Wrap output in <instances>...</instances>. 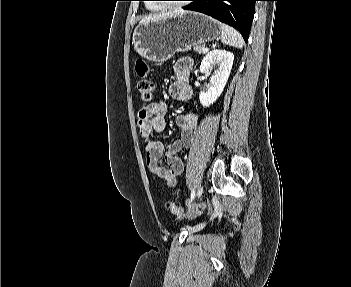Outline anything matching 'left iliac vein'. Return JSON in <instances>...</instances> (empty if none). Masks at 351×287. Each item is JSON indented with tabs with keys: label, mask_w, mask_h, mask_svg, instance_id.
I'll return each mask as SVG.
<instances>
[{
	"label": "left iliac vein",
	"mask_w": 351,
	"mask_h": 287,
	"mask_svg": "<svg viewBox=\"0 0 351 287\" xmlns=\"http://www.w3.org/2000/svg\"><path fill=\"white\" fill-rule=\"evenodd\" d=\"M202 192H203V188L200 187V188L198 189V192H197V197H198V198L201 196Z\"/></svg>",
	"instance_id": "left-iliac-vein-1"
}]
</instances>
